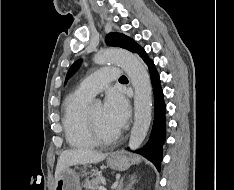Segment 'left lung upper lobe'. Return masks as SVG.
Masks as SVG:
<instances>
[{
    "label": "left lung upper lobe",
    "mask_w": 234,
    "mask_h": 190,
    "mask_svg": "<svg viewBox=\"0 0 234 190\" xmlns=\"http://www.w3.org/2000/svg\"><path fill=\"white\" fill-rule=\"evenodd\" d=\"M105 42L108 46L124 48L134 53L138 48H140V46L133 39L121 33L107 34ZM80 64L81 60H78L70 67L65 82H67V80L77 71V69L80 67Z\"/></svg>",
    "instance_id": "1"
}]
</instances>
